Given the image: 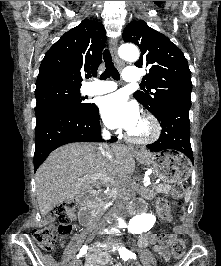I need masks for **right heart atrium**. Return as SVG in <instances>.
Wrapping results in <instances>:
<instances>
[{
	"mask_svg": "<svg viewBox=\"0 0 221 266\" xmlns=\"http://www.w3.org/2000/svg\"><path fill=\"white\" fill-rule=\"evenodd\" d=\"M103 132H104V133H108V131H107L106 129H103Z\"/></svg>",
	"mask_w": 221,
	"mask_h": 266,
	"instance_id": "1",
	"label": "right heart atrium"
}]
</instances>
